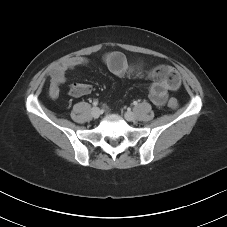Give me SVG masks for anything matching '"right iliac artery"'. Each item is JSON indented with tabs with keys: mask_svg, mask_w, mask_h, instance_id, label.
Masks as SVG:
<instances>
[{
	"mask_svg": "<svg viewBox=\"0 0 227 227\" xmlns=\"http://www.w3.org/2000/svg\"><path fill=\"white\" fill-rule=\"evenodd\" d=\"M98 105V102L97 101H94L93 102V106H97Z\"/></svg>",
	"mask_w": 227,
	"mask_h": 227,
	"instance_id": "82829eb1",
	"label": "right iliac artery"
}]
</instances>
